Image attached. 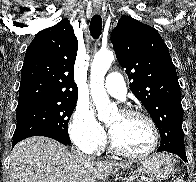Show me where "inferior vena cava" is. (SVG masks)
<instances>
[{
    "label": "inferior vena cava",
    "instance_id": "1",
    "mask_svg": "<svg viewBox=\"0 0 196 182\" xmlns=\"http://www.w3.org/2000/svg\"><path fill=\"white\" fill-rule=\"evenodd\" d=\"M77 153H78V156H84L79 150L77 151Z\"/></svg>",
    "mask_w": 196,
    "mask_h": 182
}]
</instances>
